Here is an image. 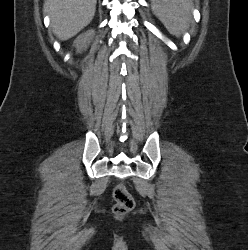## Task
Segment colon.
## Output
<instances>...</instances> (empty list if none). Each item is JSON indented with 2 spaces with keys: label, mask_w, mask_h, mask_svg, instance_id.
<instances>
[{
  "label": "colon",
  "mask_w": 248,
  "mask_h": 250,
  "mask_svg": "<svg viewBox=\"0 0 248 250\" xmlns=\"http://www.w3.org/2000/svg\"><path fill=\"white\" fill-rule=\"evenodd\" d=\"M113 197L115 200L113 213L116 216H125L134 208V199L123 184L116 185L113 190Z\"/></svg>",
  "instance_id": "colon-1"
}]
</instances>
